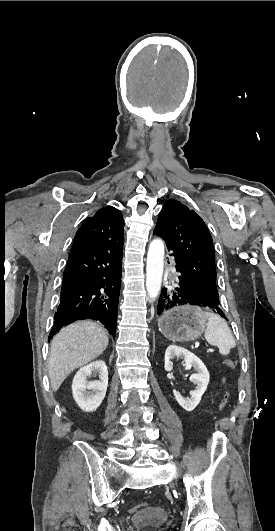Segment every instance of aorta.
<instances>
[{
    "instance_id": "aorta-1",
    "label": "aorta",
    "mask_w": 275,
    "mask_h": 531,
    "mask_svg": "<svg viewBox=\"0 0 275 531\" xmlns=\"http://www.w3.org/2000/svg\"><path fill=\"white\" fill-rule=\"evenodd\" d=\"M164 267V243L153 239L150 243L146 263V291L148 297L155 301L161 291Z\"/></svg>"
}]
</instances>
